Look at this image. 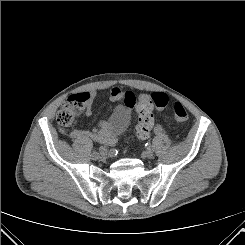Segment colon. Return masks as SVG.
I'll list each match as a JSON object with an SVG mask.
<instances>
[{"label":"colon","mask_w":245,"mask_h":245,"mask_svg":"<svg viewBox=\"0 0 245 245\" xmlns=\"http://www.w3.org/2000/svg\"><path fill=\"white\" fill-rule=\"evenodd\" d=\"M88 94L73 95L67 99L57 114V123L64 129L70 126L75 118L84 110ZM168 104V97L164 93L141 94L136 103L138 123L135 128L136 137L139 140L147 139L154 125L153 109H164ZM174 120L178 124L188 121V113L181 103L174 106Z\"/></svg>","instance_id":"obj_1"}]
</instances>
